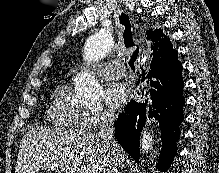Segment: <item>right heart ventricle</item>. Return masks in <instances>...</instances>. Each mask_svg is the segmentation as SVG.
Wrapping results in <instances>:
<instances>
[{
	"instance_id": "obj_1",
	"label": "right heart ventricle",
	"mask_w": 219,
	"mask_h": 173,
	"mask_svg": "<svg viewBox=\"0 0 219 173\" xmlns=\"http://www.w3.org/2000/svg\"><path fill=\"white\" fill-rule=\"evenodd\" d=\"M47 117L58 128L73 130L86 127L85 113L72 102L71 88L67 83L54 90Z\"/></svg>"
}]
</instances>
